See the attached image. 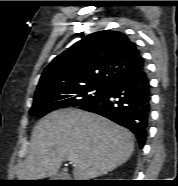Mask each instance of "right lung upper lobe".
<instances>
[{
  "mask_svg": "<svg viewBox=\"0 0 178 186\" xmlns=\"http://www.w3.org/2000/svg\"><path fill=\"white\" fill-rule=\"evenodd\" d=\"M144 64L137 46L121 32L99 31L83 37L43 71L35 93L92 83L110 84Z\"/></svg>",
  "mask_w": 178,
  "mask_h": 186,
  "instance_id": "1",
  "label": "right lung upper lobe"
}]
</instances>
